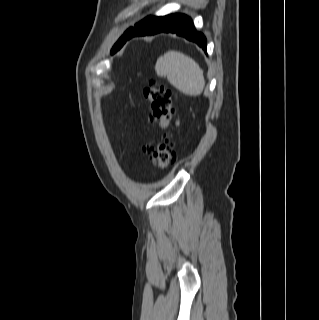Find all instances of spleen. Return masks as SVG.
Listing matches in <instances>:
<instances>
[{
  "instance_id": "1",
  "label": "spleen",
  "mask_w": 319,
  "mask_h": 320,
  "mask_svg": "<svg viewBox=\"0 0 319 320\" xmlns=\"http://www.w3.org/2000/svg\"><path fill=\"white\" fill-rule=\"evenodd\" d=\"M155 71L185 95L197 96L204 89L205 79L200 66L191 57L178 51H168L159 57Z\"/></svg>"
}]
</instances>
